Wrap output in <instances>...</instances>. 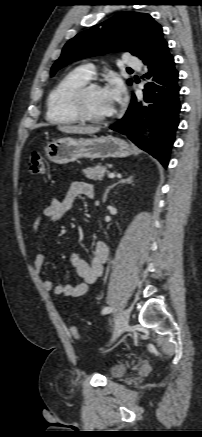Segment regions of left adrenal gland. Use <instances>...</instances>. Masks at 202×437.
Masks as SVG:
<instances>
[{
	"label": "left adrenal gland",
	"instance_id": "obj_1",
	"mask_svg": "<svg viewBox=\"0 0 202 437\" xmlns=\"http://www.w3.org/2000/svg\"><path fill=\"white\" fill-rule=\"evenodd\" d=\"M120 183H122V184H123V183L132 184V183H133V176H129V177L126 178V179H121V180H119L118 182H116V183H114V184L108 186L107 189L105 190V193H104V196H103V200H104V201H106V199H107V195H108L109 191H110L113 187H115L116 185H118V184H120Z\"/></svg>",
	"mask_w": 202,
	"mask_h": 437
}]
</instances>
